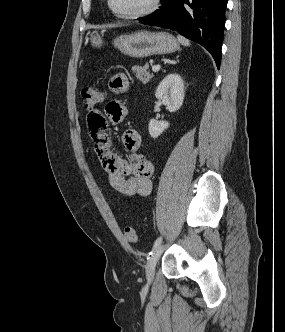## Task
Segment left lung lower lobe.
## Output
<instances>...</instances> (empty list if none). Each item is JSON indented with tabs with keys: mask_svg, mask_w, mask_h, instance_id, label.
Returning <instances> with one entry per match:
<instances>
[{
	"mask_svg": "<svg viewBox=\"0 0 285 332\" xmlns=\"http://www.w3.org/2000/svg\"><path fill=\"white\" fill-rule=\"evenodd\" d=\"M226 6L227 0H163L160 10L139 21L172 29L199 43L219 69Z\"/></svg>",
	"mask_w": 285,
	"mask_h": 332,
	"instance_id": "1",
	"label": "left lung lower lobe"
}]
</instances>
